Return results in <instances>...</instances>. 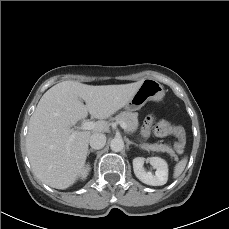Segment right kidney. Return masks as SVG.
<instances>
[{
    "instance_id": "right-kidney-1",
    "label": "right kidney",
    "mask_w": 229,
    "mask_h": 229,
    "mask_svg": "<svg viewBox=\"0 0 229 229\" xmlns=\"http://www.w3.org/2000/svg\"><path fill=\"white\" fill-rule=\"evenodd\" d=\"M89 170H90L89 165L87 167H85V169H83V171L81 173L82 179L87 177Z\"/></svg>"
}]
</instances>
